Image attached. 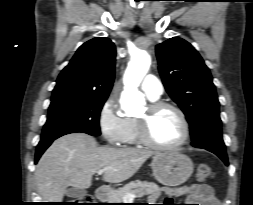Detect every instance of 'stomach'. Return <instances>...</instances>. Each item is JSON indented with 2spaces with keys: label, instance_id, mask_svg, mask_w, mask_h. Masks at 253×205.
<instances>
[{
  "label": "stomach",
  "instance_id": "1",
  "mask_svg": "<svg viewBox=\"0 0 253 205\" xmlns=\"http://www.w3.org/2000/svg\"><path fill=\"white\" fill-rule=\"evenodd\" d=\"M151 167L156 180L168 187L183 184L193 173L192 160L178 151L155 154Z\"/></svg>",
  "mask_w": 253,
  "mask_h": 205
}]
</instances>
